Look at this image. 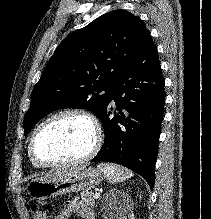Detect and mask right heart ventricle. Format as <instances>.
I'll return each mask as SVG.
<instances>
[{
  "mask_svg": "<svg viewBox=\"0 0 211 219\" xmlns=\"http://www.w3.org/2000/svg\"><path fill=\"white\" fill-rule=\"evenodd\" d=\"M30 157V156H29ZM30 162L31 164L35 167V168H42L39 165H37L31 158H30Z\"/></svg>",
  "mask_w": 211,
  "mask_h": 219,
  "instance_id": "1",
  "label": "right heart ventricle"
}]
</instances>
